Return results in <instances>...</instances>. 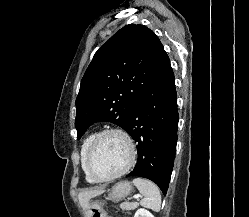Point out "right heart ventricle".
<instances>
[{
  "label": "right heart ventricle",
  "mask_w": 249,
  "mask_h": 217,
  "mask_svg": "<svg viewBox=\"0 0 249 217\" xmlns=\"http://www.w3.org/2000/svg\"><path fill=\"white\" fill-rule=\"evenodd\" d=\"M96 133L92 132L89 133L88 135H86V137L83 139L82 143H81V147H80V164H81V168L85 174V178L88 182L90 183H94L96 181H94L89 174L86 171V167H85V158H86V154L89 148V145L91 143V141L93 140V138L95 137Z\"/></svg>",
  "instance_id": "obj_1"
}]
</instances>
